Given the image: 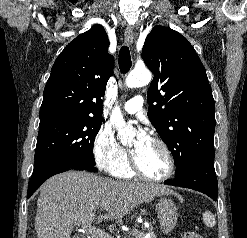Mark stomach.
<instances>
[{
	"label": "stomach",
	"instance_id": "stomach-1",
	"mask_svg": "<svg viewBox=\"0 0 247 238\" xmlns=\"http://www.w3.org/2000/svg\"><path fill=\"white\" fill-rule=\"evenodd\" d=\"M160 228L163 233H169L177 223V208L169 198H161L157 204Z\"/></svg>",
	"mask_w": 247,
	"mask_h": 238
}]
</instances>
